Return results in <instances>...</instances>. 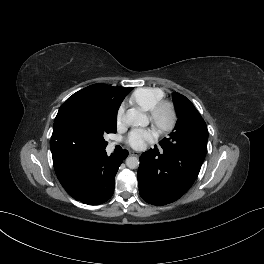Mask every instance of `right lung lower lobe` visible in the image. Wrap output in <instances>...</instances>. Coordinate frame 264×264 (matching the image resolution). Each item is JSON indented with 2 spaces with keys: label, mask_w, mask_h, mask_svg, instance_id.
Returning a JSON list of instances; mask_svg holds the SVG:
<instances>
[{
  "label": "right lung lower lobe",
  "mask_w": 264,
  "mask_h": 264,
  "mask_svg": "<svg viewBox=\"0 0 264 264\" xmlns=\"http://www.w3.org/2000/svg\"><path fill=\"white\" fill-rule=\"evenodd\" d=\"M127 155V150L111 156L105 149L81 152L54 168L69 195L84 204L98 205L113 195L114 177Z\"/></svg>",
  "instance_id": "obj_1"
}]
</instances>
